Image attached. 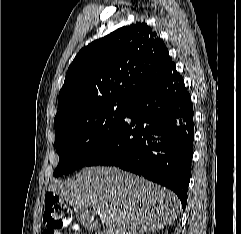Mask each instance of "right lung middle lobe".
<instances>
[{
  "label": "right lung middle lobe",
  "instance_id": "dd1d6c3e",
  "mask_svg": "<svg viewBox=\"0 0 241 234\" xmlns=\"http://www.w3.org/2000/svg\"><path fill=\"white\" fill-rule=\"evenodd\" d=\"M127 104H106L85 112L73 124L56 130L59 164L55 177L69 174L87 162L109 141L121 124Z\"/></svg>",
  "mask_w": 241,
  "mask_h": 234
}]
</instances>
